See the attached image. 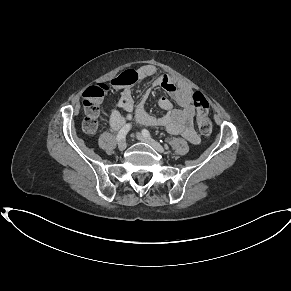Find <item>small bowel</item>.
Masks as SVG:
<instances>
[{"label":"small bowel","mask_w":291,"mask_h":291,"mask_svg":"<svg viewBox=\"0 0 291 291\" xmlns=\"http://www.w3.org/2000/svg\"><path fill=\"white\" fill-rule=\"evenodd\" d=\"M157 73V67L151 64L143 65L137 71L139 79H144ZM153 86L164 89L180 108L174 109L169 98L160 97L158 104L163 110V115L160 117L152 116L145 108L136 109L134 107L132 90L126 87L122 90L116 102V106L122 112L115 108L110 109L108 112L110 128L118 130L128 120H134L141 125L164 127L171 134H180L193 144L199 143L200 138L193 127L195 110L192 104V87L188 83L177 80L166 73H160L153 81Z\"/></svg>","instance_id":"small-bowel-1"}]
</instances>
